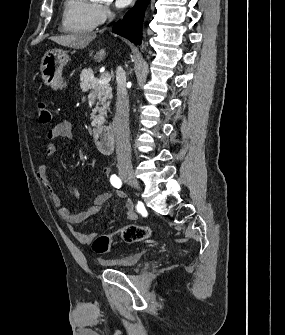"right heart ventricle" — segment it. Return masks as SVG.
<instances>
[{
  "mask_svg": "<svg viewBox=\"0 0 285 335\" xmlns=\"http://www.w3.org/2000/svg\"><path fill=\"white\" fill-rule=\"evenodd\" d=\"M95 4L94 1H83L79 3L80 6H83L87 9H92L93 5ZM68 25H74L80 30L84 31H91L96 25L92 19V17L86 16L76 21H67Z\"/></svg>",
  "mask_w": 285,
  "mask_h": 335,
  "instance_id": "1",
  "label": "right heart ventricle"
}]
</instances>
